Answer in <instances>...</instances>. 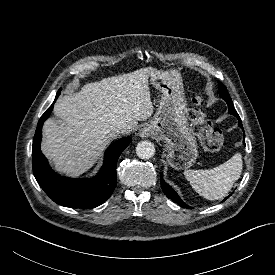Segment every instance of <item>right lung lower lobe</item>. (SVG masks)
<instances>
[{"instance_id":"obj_1","label":"right lung lower lobe","mask_w":275,"mask_h":275,"mask_svg":"<svg viewBox=\"0 0 275 275\" xmlns=\"http://www.w3.org/2000/svg\"><path fill=\"white\" fill-rule=\"evenodd\" d=\"M59 94L58 91L54 102ZM54 102L41 116L36 128L32 146L33 174L40 187L57 204L71 208H95L106 201L114 191L117 179V161L132 139L124 137L108 147L104 155L103 166L97 177L90 179L62 177L53 172L40 150L42 126L49 117Z\"/></svg>"}]
</instances>
